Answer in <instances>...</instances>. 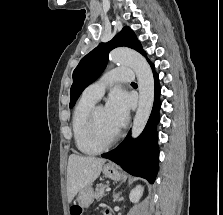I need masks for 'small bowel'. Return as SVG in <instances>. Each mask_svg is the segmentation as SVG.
<instances>
[{"label":"small bowel","mask_w":223,"mask_h":215,"mask_svg":"<svg viewBox=\"0 0 223 215\" xmlns=\"http://www.w3.org/2000/svg\"><path fill=\"white\" fill-rule=\"evenodd\" d=\"M104 215H110V213L108 211H106Z\"/></svg>","instance_id":"1"}]
</instances>
